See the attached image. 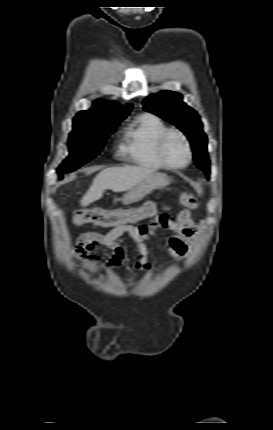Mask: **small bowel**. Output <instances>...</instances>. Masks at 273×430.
I'll return each instance as SVG.
<instances>
[{"mask_svg":"<svg viewBox=\"0 0 273 430\" xmlns=\"http://www.w3.org/2000/svg\"><path fill=\"white\" fill-rule=\"evenodd\" d=\"M170 206H164V210H169ZM164 220H161V218ZM167 228L173 235L169 238L166 249L168 253L178 262H181L187 254L188 246L197 236V228L193 223L188 211H182L177 216L161 215L159 218L146 223L140 227L132 225H118L106 233H86L79 237L78 245L85 246L87 250L101 245L112 251V257L105 265L106 269L120 265L125 259V250L119 244L118 239L128 234L136 244L137 272L131 275L127 281L135 280L138 275L150 267V246L149 243L156 239L157 230ZM84 263H94L96 258L89 253H81ZM88 258V259H87Z\"/></svg>","mask_w":273,"mask_h":430,"instance_id":"c3829d8e","label":"small bowel"}]
</instances>
